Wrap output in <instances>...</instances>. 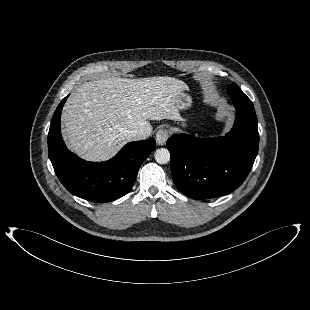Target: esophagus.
Masks as SVG:
<instances>
[{"mask_svg":"<svg viewBox=\"0 0 310 310\" xmlns=\"http://www.w3.org/2000/svg\"><path fill=\"white\" fill-rule=\"evenodd\" d=\"M169 137V132L166 129H160L156 133V142L159 146H163Z\"/></svg>","mask_w":310,"mask_h":310,"instance_id":"esophagus-1","label":"esophagus"}]
</instances>
